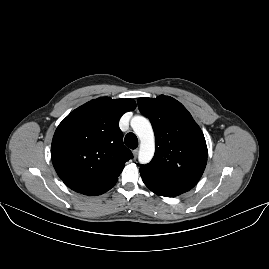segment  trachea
<instances>
[{
    "label": "trachea",
    "mask_w": 269,
    "mask_h": 269,
    "mask_svg": "<svg viewBox=\"0 0 269 269\" xmlns=\"http://www.w3.org/2000/svg\"><path fill=\"white\" fill-rule=\"evenodd\" d=\"M124 141L126 146L130 149H136L138 146V139L134 133H128Z\"/></svg>",
    "instance_id": "obj_1"
}]
</instances>
